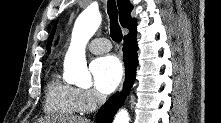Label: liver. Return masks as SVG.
I'll return each mask as SVG.
<instances>
[{
  "label": "liver",
  "instance_id": "obj_1",
  "mask_svg": "<svg viewBox=\"0 0 221 123\" xmlns=\"http://www.w3.org/2000/svg\"><path fill=\"white\" fill-rule=\"evenodd\" d=\"M53 122H56V119H52ZM59 121V120H58ZM63 123H91L90 120L81 117H71L69 119H60Z\"/></svg>",
  "mask_w": 221,
  "mask_h": 123
}]
</instances>
